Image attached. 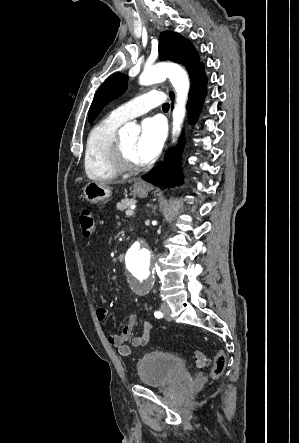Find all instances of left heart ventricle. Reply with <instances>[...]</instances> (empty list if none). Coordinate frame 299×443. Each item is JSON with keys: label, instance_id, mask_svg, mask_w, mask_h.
<instances>
[{"label": "left heart ventricle", "instance_id": "b2bd125f", "mask_svg": "<svg viewBox=\"0 0 299 443\" xmlns=\"http://www.w3.org/2000/svg\"><path fill=\"white\" fill-rule=\"evenodd\" d=\"M138 139V135H134L121 140L128 159L135 164H141L136 154Z\"/></svg>", "mask_w": 299, "mask_h": 443}]
</instances>
